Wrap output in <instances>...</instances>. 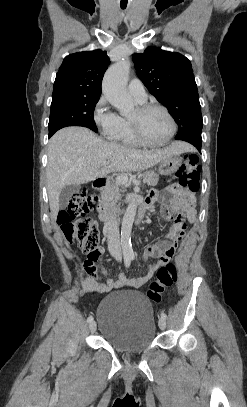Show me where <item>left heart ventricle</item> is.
<instances>
[{
  "label": "left heart ventricle",
  "instance_id": "1",
  "mask_svg": "<svg viewBox=\"0 0 247 407\" xmlns=\"http://www.w3.org/2000/svg\"><path fill=\"white\" fill-rule=\"evenodd\" d=\"M130 118L138 120L141 132L149 142L160 143L171 132V123L161 110L154 109L140 114L136 108Z\"/></svg>",
  "mask_w": 247,
  "mask_h": 407
}]
</instances>
